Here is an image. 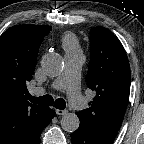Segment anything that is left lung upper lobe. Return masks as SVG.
<instances>
[{
  "instance_id": "obj_1",
  "label": "left lung upper lobe",
  "mask_w": 144,
  "mask_h": 144,
  "mask_svg": "<svg viewBox=\"0 0 144 144\" xmlns=\"http://www.w3.org/2000/svg\"><path fill=\"white\" fill-rule=\"evenodd\" d=\"M90 63L87 84L96 92L88 109L76 112L94 131L116 137L130 93V66L118 38L104 27L90 31Z\"/></svg>"
}]
</instances>
